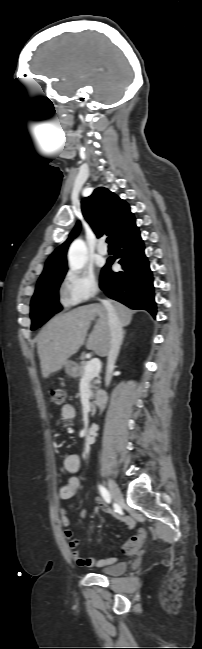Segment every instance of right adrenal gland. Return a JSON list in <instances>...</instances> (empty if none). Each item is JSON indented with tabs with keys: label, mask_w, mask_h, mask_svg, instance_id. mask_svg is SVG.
I'll list each match as a JSON object with an SVG mask.
<instances>
[{
	"label": "right adrenal gland",
	"mask_w": 202,
	"mask_h": 649,
	"mask_svg": "<svg viewBox=\"0 0 202 649\" xmlns=\"http://www.w3.org/2000/svg\"><path fill=\"white\" fill-rule=\"evenodd\" d=\"M124 337H125V331H123V339H124ZM123 339H122V343H123Z\"/></svg>",
	"instance_id": "right-adrenal-gland-1"
}]
</instances>
